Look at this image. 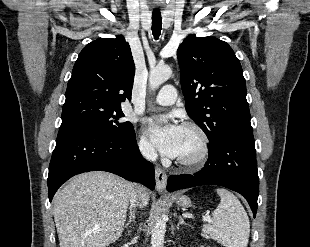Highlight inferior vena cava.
Segmentation results:
<instances>
[{
	"label": "inferior vena cava",
	"instance_id": "1",
	"mask_svg": "<svg viewBox=\"0 0 310 247\" xmlns=\"http://www.w3.org/2000/svg\"><path fill=\"white\" fill-rule=\"evenodd\" d=\"M140 151L143 157L146 158L147 160L154 161L157 158V153L155 149L149 144L140 145ZM137 189L138 187L132 184V192L130 196V208L136 205L135 203L137 202V199H138Z\"/></svg>",
	"mask_w": 310,
	"mask_h": 247
}]
</instances>
